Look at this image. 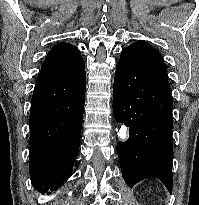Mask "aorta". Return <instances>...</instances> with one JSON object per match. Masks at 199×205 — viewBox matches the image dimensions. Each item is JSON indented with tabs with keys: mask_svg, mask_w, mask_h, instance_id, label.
<instances>
[{
	"mask_svg": "<svg viewBox=\"0 0 199 205\" xmlns=\"http://www.w3.org/2000/svg\"><path fill=\"white\" fill-rule=\"evenodd\" d=\"M118 137L121 141H125L128 138L127 127L122 125L118 132Z\"/></svg>",
	"mask_w": 199,
	"mask_h": 205,
	"instance_id": "762f6f07",
	"label": "aorta"
}]
</instances>
